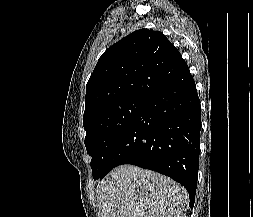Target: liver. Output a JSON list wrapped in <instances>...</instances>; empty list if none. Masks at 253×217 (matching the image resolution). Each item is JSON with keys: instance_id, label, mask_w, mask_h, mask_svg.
<instances>
[{"instance_id": "6515ba94", "label": "liver", "mask_w": 253, "mask_h": 217, "mask_svg": "<svg viewBox=\"0 0 253 217\" xmlns=\"http://www.w3.org/2000/svg\"><path fill=\"white\" fill-rule=\"evenodd\" d=\"M99 217H185L186 189L133 165L114 168L96 187Z\"/></svg>"}]
</instances>
